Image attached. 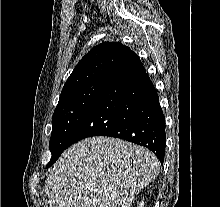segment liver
Wrapping results in <instances>:
<instances>
[{
	"mask_svg": "<svg viewBox=\"0 0 220 207\" xmlns=\"http://www.w3.org/2000/svg\"><path fill=\"white\" fill-rule=\"evenodd\" d=\"M148 149L110 137L86 138L51 169L45 192L50 207H131L159 174Z\"/></svg>",
	"mask_w": 220,
	"mask_h": 207,
	"instance_id": "1",
	"label": "liver"
}]
</instances>
